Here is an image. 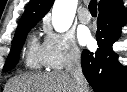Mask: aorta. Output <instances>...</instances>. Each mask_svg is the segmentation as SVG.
<instances>
[{"label":"aorta","mask_w":127,"mask_h":92,"mask_svg":"<svg viewBox=\"0 0 127 92\" xmlns=\"http://www.w3.org/2000/svg\"><path fill=\"white\" fill-rule=\"evenodd\" d=\"M77 0H56L52 9V25L57 32L67 31L76 13Z\"/></svg>","instance_id":"1"}]
</instances>
